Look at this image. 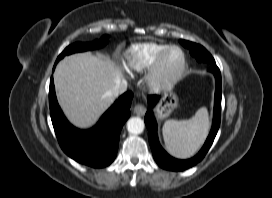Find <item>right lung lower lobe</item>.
Here are the masks:
<instances>
[{
    "label": "right lung lower lobe",
    "mask_w": 272,
    "mask_h": 198,
    "mask_svg": "<svg viewBox=\"0 0 272 198\" xmlns=\"http://www.w3.org/2000/svg\"><path fill=\"white\" fill-rule=\"evenodd\" d=\"M132 98V92L124 93L104 113L96 126L87 131L79 130L73 127L63 115L57 103L53 77H51L50 114L62 150L79 163L94 168L108 166L116 157L120 131L130 116Z\"/></svg>",
    "instance_id": "obj_1"
}]
</instances>
